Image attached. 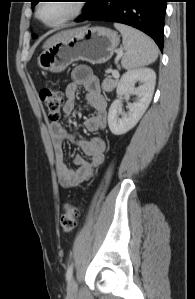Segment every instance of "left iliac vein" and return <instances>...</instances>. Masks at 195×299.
I'll list each match as a JSON object with an SVG mask.
<instances>
[{"mask_svg": "<svg viewBox=\"0 0 195 299\" xmlns=\"http://www.w3.org/2000/svg\"><path fill=\"white\" fill-rule=\"evenodd\" d=\"M78 292V286L74 278H71L67 285V293L69 296H75Z\"/></svg>", "mask_w": 195, "mask_h": 299, "instance_id": "left-iliac-vein-1", "label": "left iliac vein"}]
</instances>
